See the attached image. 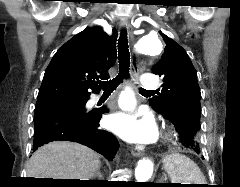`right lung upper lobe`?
<instances>
[{
  "label": "right lung upper lobe",
  "instance_id": "right-lung-upper-lobe-1",
  "mask_svg": "<svg viewBox=\"0 0 240 187\" xmlns=\"http://www.w3.org/2000/svg\"><path fill=\"white\" fill-rule=\"evenodd\" d=\"M116 30L86 28L62 45L49 63L36 106L62 99L87 98L100 91L99 79H108L116 61Z\"/></svg>",
  "mask_w": 240,
  "mask_h": 187
}]
</instances>
